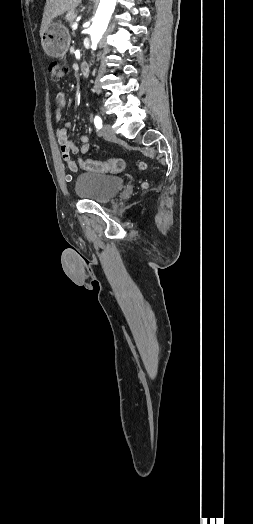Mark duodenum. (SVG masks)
Segmentation results:
<instances>
[{"label":"duodenum","instance_id":"obj_1","mask_svg":"<svg viewBox=\"0 0 253 524\" xmlns=\"http://www.w3.org/2000/svg\"><path fill=\"white\" fill-rule=\"evenodd\" d=\"M80 72L84 76H87L89 74V65L87 62H83L80 64Z\"/></svg>","mask_w":253,"mask_h":524}]
</instances>
